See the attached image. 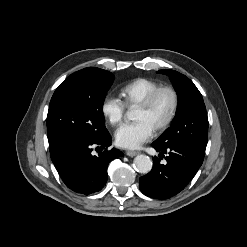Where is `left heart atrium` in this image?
<instances>
[{
	"instance_id": "39dd6f15",
	"label": "left heart atrium",
	"mask_w": 247,
	"mask_h": 247,
	"mask_svg": "<svg viewBox=\"0 0 247 247\" xmlns=\"http://www.w3.org/2000/svg\"><path fill=\"white\" fill-rule=\"evenodd\" d=\"M153 132L154 129L146 121L138 120L121 125L115 133V140L122 148L135 149L147 142Z\"/></svg>"
}]
</instances>
